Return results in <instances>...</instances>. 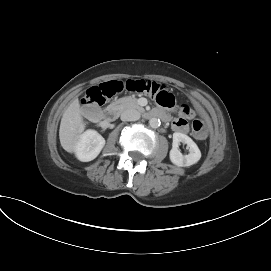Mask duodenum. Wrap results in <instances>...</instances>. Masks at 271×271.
Returning a JSON list of instances; mask_svg holds the SVG:
<instances>
[{"label":"duodenum","instance_id":"410a0bca","mask_svg":"<svg viewBox=\"0 0 271 271\" xmlns=\"http://www.w3.org/2000/svg\"><path fill=\"white\" fill-rule=\"evenodd\" d=\"M117 114H118V110H117V108L115 106L107 107L106 109H104L101 112L100 115H98L94 111L88 112V116L90 118H92V119L100 118L101 121H103V122H105L107 124L112 123L116 119ZM146 116L149 117V118L158 117V118H161L163 120L168 119V116L164 112L159 111V110H154V111L148 112V113H146Z\"/></svg>","mask_w":271,"mask_h":271}]
</instances>
